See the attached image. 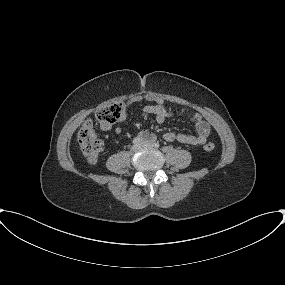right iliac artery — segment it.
<instances>
[{"instance_id":"obj_1","label":"right iliac artery","mask_w":285,"mask_h":285,"mask_svg":"<svg viewBox=\"0 0 285 285\" xmlns=\"http://www.w3.org/2000/svg\"><path fill=\"white\" fill-rule=\"evenodd\" d=\"M142 140L139 137L134 138L133 144H139Z\"/></svg>"}]
</instances>
